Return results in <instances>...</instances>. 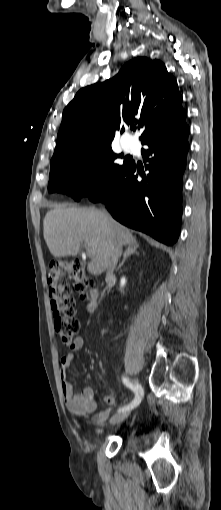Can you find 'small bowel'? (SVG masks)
I'll return each instance as SVG.
<instances>
[{
    "mask_svg": "<svg viewBox=\"0 0 221 510\" xmlns=\"http://www.w3.org/2000/svg\"><path fill=\"white\" fill-rule=\"evenodd\" d=\"M83 346V339L77 337L71 344V351L67 352L60 360V383L61 390L64 396L65 405L68 411L73 414L87 417L96 409L95 392L91 387H85L80 392L75 393L73 384L67 376V371L71 367L75 359V351L81 349ZM104 402L109 406L116 404V399L113 396H105ZM111 409L103 410L90 418L93 424L101 425L110 416Z\"/></svg>",
    "mask_w": 221,
    "mask_h": 510,
    "instance_id": "1",
    "label": "small bowel"
}]
</instances>
